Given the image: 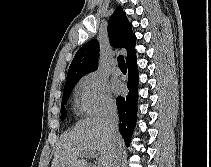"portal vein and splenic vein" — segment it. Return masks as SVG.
<instances>
[{"instance_id":"obj_1","label":"portal vein and splenic vein","mask_w":211,"mask_h":167,"mask_svg":"<svg viewBox=\"0 0 211 167\" xmlns=\"http://www.w3.org/2000/svg\"><path fill=\"white\" fill-rule=\"evenodd\" d=\"M97 156L98 154H96L95 152H91V153L83 155V157H86V158H97Z\"/></svg>"}]
</instances>
